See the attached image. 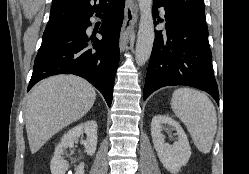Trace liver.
Instances as JSON below:
<instances>
[{"label":"liver","instance_id":"liver-1","mask_svg":"<svg viewBox=\"0 0 249 174\" xmlns=\"http://www.w3.org/2000/svg\"><path fill=\"white\" fill-rule=\"evenodd\" d=\"M95 99V88L75 75L52 76L34 87L25 111L31 153H36L52 136L81 119Z\"/></svg>","mask_w":249,"mask_h":174}]
</instances>
